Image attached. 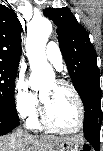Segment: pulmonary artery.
<instances>
[{
    "label": "pulmonary artery",
    "instance_id": "e3ab8cb5",
    "mask_svg": "<svg viewBox=\"0 0 103 151\" xmlns=\"http://www.w3.org/2000/svg\"><path fill=\"white\" fill-rule=\"evenodd\" d=\"M46 57L58 70L62 69L63 57L57 43L51 41L47 44Z\"/></svg>",
    "mask_w": 103,
    "mask_h": 151
}]
</instances>
